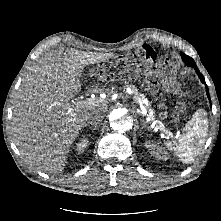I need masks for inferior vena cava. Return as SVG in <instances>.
Listing matches in <instances>:
<instances>
[{
  "mask_svg": "<svg viewBox=\"0 0 221 221\" xmlns=\"http://www.w3.org/2000/svg\"><path fill=\"white\" fill-rule=\"evenodd\" d=\"M103 115L96 112L88 120V125L97 126L101 123Z\"/></svg>",
  "mask_w": 221,
  "mask_h": 221,
  "instance_id": "602c4592",
  "label": "inferior vena cava"
}]
</instances>
